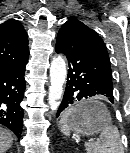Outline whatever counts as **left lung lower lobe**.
<instances>
[{
	"label": "left lung lower lobe",
	"instance_id": "left-lung-lower-lobe-1",
	"mask_svg": "<svg viewBox=\"0 0 130 153\" xmlns=\"http://www.w3.org/2000/svg\"><path fill=\"white\" fill-rule=\"evenodd\" d=\"M55 50L69 64L66 89L56 116L82 98L99 95L114 103L110 63L93 47L68 34L58 33Z\"/></svg>",
	"mask_w": 130,
	"mask_h": 153
}]
</instances>
